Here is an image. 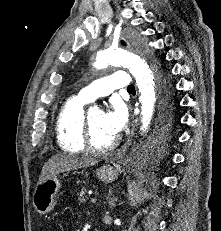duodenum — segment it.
<instances>
[{
	"label": "duodenum",
	"instance_id": "1",
	"mask_svg": "<svg viewBox=\"0 0 221 231\" xmlns=\"http://www.w3.org/2000/svg\"><path fill=\"white\" fill-rule=\"evenodd\" d=\"M93 231H99V230H97V229H93Z\"/></svg>",
	"mask_w": 221,
	"mask_h": 231
}]
</instances>
